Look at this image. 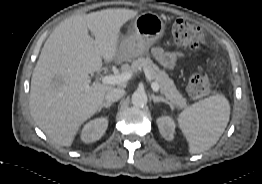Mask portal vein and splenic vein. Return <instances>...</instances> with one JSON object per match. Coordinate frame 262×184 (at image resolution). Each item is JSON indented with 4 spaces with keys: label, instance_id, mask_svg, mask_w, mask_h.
Listing matches in <instances>:
<instances>
[{
    "label": "portal vein and splenic vein",
    "instance_id": "1",
    "mask_svg": "<svg viewBox=\"0 0 262 184\" xmlns=\"http://www.w3.org/2000/svg\"><path fill=\"white\" fill-rule=\"evenodd\" d=\"M132 74V71H126L121 74L106 75L102 77L101 81L103 84H121L127 82L132 77ZM151 88L154 92H158L160 87L158 83L152 82Z\"/></svg>",
    "mask_w": 262,
    "mask_h": 184
}]
</instances>
